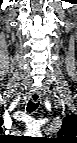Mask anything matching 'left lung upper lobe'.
<instances>
[{"mask_svg": "<svg viewBox=\"0 0 77 143\" xmlns=\"http://www.w3.org/2000/svg\"><path fill=\"white\" fill-rule=\"evenodd\" d=\"M59 139L74 141L77 139V117L67 115L63 120V125L59 131ZM65 142V141H62Z\"/></svg>", "mask_w": 77, "mask_h": 143, "instance_id": "obj_1", "label": "left lung upper lobe"}]
</instances>
